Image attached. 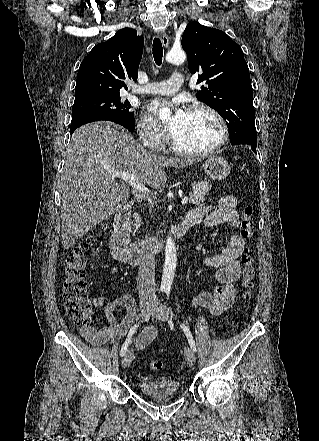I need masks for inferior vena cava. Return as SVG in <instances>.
Listing matches in <instances>:
<instances>
[{"label":"inferior vena cava","mask_w":319,"mask_h":441,"mask_svg":"<svg viewBox=\"0 0 319 441\" xmlns=\"http://www.w3.org/2000/svg\"><path fill=\"white\" fill-rule=\"evenodd\" d=\"M148 242V236L146 235ZM138 291L139 296L154 297L155 296V255L151 245H147L142 263L138 272Z\"/></svg>","instance_id":"inferior-vena-cava-1"}]
</instances>
